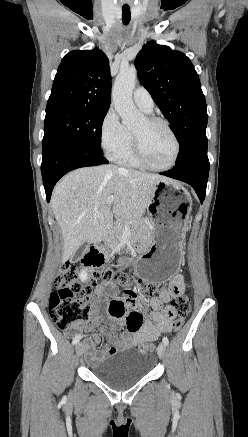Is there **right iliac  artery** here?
Returning <instances> with one entry per match:
<instances>
[{"label": "right iliac artery", "mask_w": 248, "mask_h": 437, "mask_svg": "<svg viewBox=\"0 0 248 437\" xmlns=\"http://www.w3.org/2000/svg\"><path fill=\"white\" fill-rule=\"evenodd\" d=\"M81 338H82V335L75 336L73 341H72V344L73 345L77 344L80 341Z\"/></svg>", "instance_id": "right-iliac-artery-1"}]
</instances>
